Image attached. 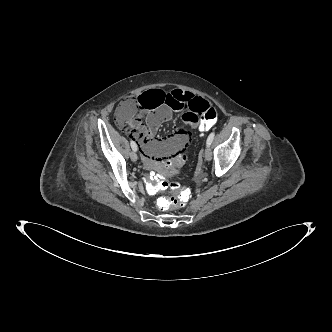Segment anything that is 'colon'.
<instances>
[{
  "label": "colon",
  "instance_id": "obj_1",
  "mask_svg": "<svg viewBox=\"0 0 332 332\" xmlns=\"http://www.w3.org/2000/svg\"><path fill=\"white\" fill-rule=\"evenodd\" d=\"M137 109V99L126 100L118 108L119 118L123 122H126L134 116ZM200 118L201 120L197 124V131L200 134H207L214 129V125L218 120V112L215 108L209 106L200 114ZM192 160V153L188 150H183L175 154L167 155L162 163V168L168 173H175L190 164ZM145 187L146 190L152 194L162 190H170L173 192V196L158 198L152 202L151 206L155 212L159 213L164 209L167 210L170 208L186 210L192 206L193 202L190 198L191 188L181 182L169 181L165 177L156 174L147 181Z\"/></svg>",
  "mask_w": 332,
  "mask_h": 332
}]
</instances>
